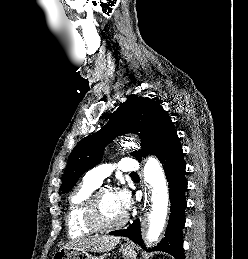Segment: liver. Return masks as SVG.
I'll return each instance as SVG.
<instances>
[{"label": "liver", "instance_id": "6515ba94", "mask_svg": "<svg viewBox=\"0 0 248 259\" xmlns=\"http://www.w3.org/2000/svg\"><path fill=\"white\" fill-rule=\"evenodd\" d=\"M119 236H96L92 238H81L73 240L66 244L63 248H75L86 252H107L115 248L119 243Z\"/></svg>", "mask_w": 248, "mask_h": 259}]
</instances>
